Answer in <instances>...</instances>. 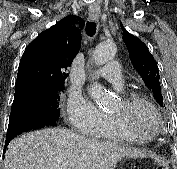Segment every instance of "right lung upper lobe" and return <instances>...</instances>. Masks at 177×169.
Here are the masks:
<instances>
[{
    "label": "right lung upper lobe",
    "mask_w": 177,
    "mask_h": 169,
    "mask_svg": "<svg viewBox=\"0 0 177 169\" xmlns=\"http://www.w3.org/2000/svg\"><path fill=\"white\" fill-rule=\"evenodd\" d=\"M74 15L43 31L25 49L19 65L15 95L28 87L54 88L64 86L66 73L79 51L81 33L71 21Z\"/></svg>",
    "instance_id": "1"
}]
</instances>
